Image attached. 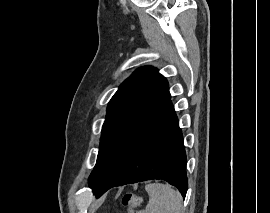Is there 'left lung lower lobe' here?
<instances>
[{"label": "left lung lower lobe", "instance_id": "1", "mask_svg": "<svg viewBox=\"0 0 270 213\" xmlns=\"http://www.w3.org/2000/svg\"><path fill=\"white\" fill-rule=\"evenodd\" d=\"M169 96L136 129L93 189L99 197L114 186L162 179L185 197L188 181L183 137Z\"/></svg>", "mask_w": 270, "mask_h": 213}]
</instances>
